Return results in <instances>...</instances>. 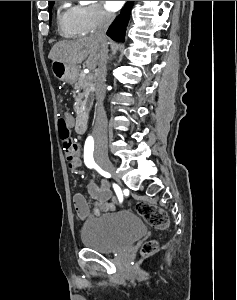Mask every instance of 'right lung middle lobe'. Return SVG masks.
I'll use <instances>...</instances> for the list:
<instances>
[{
	"label": "right lung middle lobe",
	"mask_w": 237,
	"mask_h": 300,
	"mask_svg": "<svg viewBox=\"0 0 237 300\" xmlns=\"http://www.w3.org/2000/svg\"><path fill=\"white\" fill-rule=\"evenodd\" d=\"M53 3H54V1L52 2V3H50L49 5V12H51V8H52V5H53ZM50 19H51V15H50ZM49 22H51V21H49Z\"/></svg>",
	"instance_id": "right-lung-middle-lobe-1"
}]
</instances>
